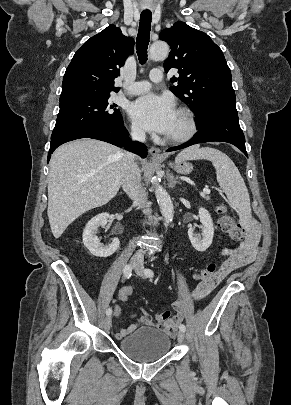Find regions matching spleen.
I'll return each mask as SVG.
<instances>
[{
	"instance_id": "obj_1",
	"label": "spleen",
	"mask_w": 291,
	"mask_h": 405,
	"mask_svg": "<svg viewBox=\"0 0 291 405\" xmlns=\"http://www.w3.org/2000/svg\"><path fill=\"white\" fill-rule=\"evenodd\" d=\"M210 160L216 169L217 182L226 194L229 204L236 208L240 222L251 220L250 197L245 182L234 162L223 152L214 148L192 146L180 152L176 162L185 160Z\"/></svg>"
}]
</instances>
